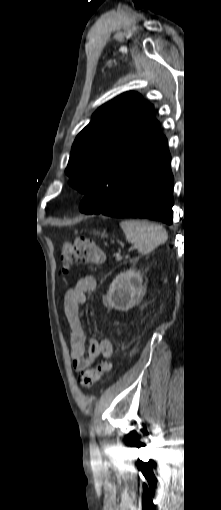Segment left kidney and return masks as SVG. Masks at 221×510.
I'll use <instances>...</instances> for the list:
<instances>
[{
    "instance_id": "1",
    "label": "left kidney",
    "mask_w": 221,
    "mask_h": 510,
    "mask_svg": "<svg viewBox=\"0 0 221 510\" xmlns=\"http://www.w3.org/2000/svg\"><path fill=\"white\" fill-rule=\"evenodd\" d=\"M142 275L134 269L120 273L111 283L103 304L119 311H128L145 292Z\"/></svg>"
}]
</instances>
